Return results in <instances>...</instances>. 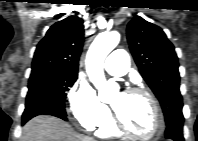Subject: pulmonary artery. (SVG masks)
<instances>
[{
	"instance_id": "1",
	"label": "pulmonary artery",
	"mask_w": 198,
	"mask_h": 141,
	"mask_svg": "<svg viewBox=\"0 0 198 141\" xmlns=\"http://www.w3.org/2000/svg\"><path fill=\"white\" fill-rule=\"evenodd\" d=\"M106 71L112 75L122 76L130 67L128 53L123 49L113 50L104 62Z\"/></svg>"
}]
</instances>
